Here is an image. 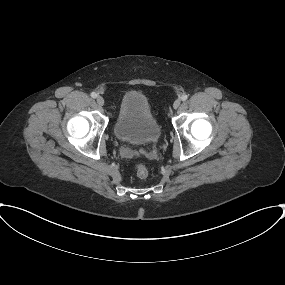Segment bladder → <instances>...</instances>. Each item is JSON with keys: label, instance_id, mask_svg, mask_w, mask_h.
Here are the masks:
<instances>
[{"label": "bladder", "instance_id": "bladder-1", "mask_svg": "<svg viewBox=\"0 0 285 285\" xmlns=\"http://www.w3.org/2000/svg\"><path fill=\"white\" fill-rule=\"evenodd\" d=\"M114 133L119 140L134 145H147L159 139L160 125L142 92L132 90L124 94L115 119Z\"/></svg>", "mask_w": 285, "mask_h": 285}]
</instances>
